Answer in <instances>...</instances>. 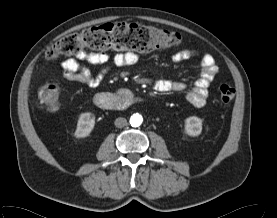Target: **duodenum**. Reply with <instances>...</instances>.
I'll use <instances>...</instances> for the list:
<instances>
[{
    "instance_id": "obj_1",
    "label": "duodenum",
    "mask_w": 277,
    "mask_h": 218,
    "mask_svg": "<svg viewBox=\"0 0 277 218\" xmlns=\"http://www.w3.org/2000/svg\"><path fill=\"white\" fill-rule=\"evenodd\" d=\"M94 102L102 109L120 111L131 106L135 102V98L129 92L115 96L101 92L95 95Z\"/></svg>"
}]
</instances>
